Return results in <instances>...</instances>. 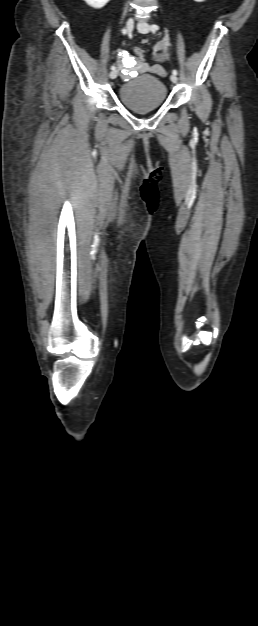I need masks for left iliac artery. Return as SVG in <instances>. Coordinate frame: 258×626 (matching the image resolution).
Wrapping results in <instances>:
<instances>
[{"label":"left iliac artery","instance_id":"left-iliac-artery-1","mask_svg":"<svg viewBox=\"0 0 258 626\" xmlns=\"http://www.w3.org/2000/svg\"><path fill=\"white\" fill-rule=\"evenodd\" d=\"M158 29H159V26H158V25H156V24H152V25L150 26V30H151L152 32H155V31H157ZM172 73H173L174 75H177V74H178V72H177V70H176V69H174V70L172 71Z\"/></svg>","mask_w":258,"mask_h":626}]
</instances>
